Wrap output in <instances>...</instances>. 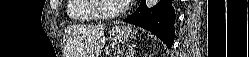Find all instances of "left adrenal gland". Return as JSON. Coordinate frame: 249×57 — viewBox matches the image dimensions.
<instances>
[{"label": "left adrenal gland", "instance_id": "obj_1", "mask_svg": "<svg viewBox=\"0 0 249 57\" xmlns=\"http://www.w3.org/2000/svg\"><path fill=\"white\" fill-rule=\"evenodd\" d=\"M135 53V45H129L128 46V51L125 54V57H132V55Z\"/></svg>", "mask_w": 249, "mask_h": 57}]
</instances>
